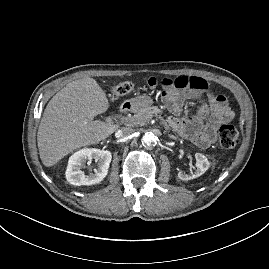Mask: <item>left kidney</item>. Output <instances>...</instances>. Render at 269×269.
Listing matches in <instances>:
<instances>
[{"label": "left kidney", "mask_w": 269, "mask_h": 269, "mask_svg": "<svg viewBox=\"0 0 269 269\" xmlns=\"http://www.w3.org/2000/svg\"><path fill=\"white\" fill-rule=\"evenodd\" d=\"M195 159H196V170L195 172H191V174H186L185 172H179L178 177L180 180L183 181H188L194 178H197L204 174L208 168L210 167V163L206 156H204L201 153H196L195 154Z\"/></svg>", "instance_id": "1"}]
</instances>
